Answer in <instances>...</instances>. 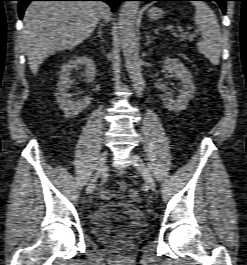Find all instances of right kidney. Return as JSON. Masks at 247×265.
<instances>
[{
	"label": "right kidney",
	"mask_w": 247,
	"mask_h": 265,
	"mask_svg": "<svg viewBox=\"0 0 247 265\" xmlns=\"http://www.w3.org/2000/svg\"><path fill=\"white\" fill-rule=\"evenodd\" d=\"M81 66L85 67L84 76L86 81L92 82L96 75L95 63L92 59L86 56H78L62 66L59 82L57 84L56 98L66 117L79 114L91 103V98L89 96H85L83 99L71 100L68 94V89L72 83L69 78L70 72Z\"/></svg>",
	"instance_id": "obj_1"
}]
</instances>
